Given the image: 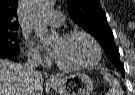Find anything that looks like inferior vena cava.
I'll return each mask as SVG.
<instances>
[{
	"mask_svg": "<svg viewBox=\"0 0 135 95\" xmlns=\"http://www.w3.org/2000/svg\"><path fill=\"white\" fill-rule=\"evenodd\" d=\"M42 64L41 57L37 53H29L28 61L24 65V69L30 75H34L37 73L36 68Z\"/></svg>",
	"mask_w": 135,
	"mask_h": 95,
	"instance_id": "inferior-vena-cava-1",
	"label": "inferior vena cava"
}]
</instances>
